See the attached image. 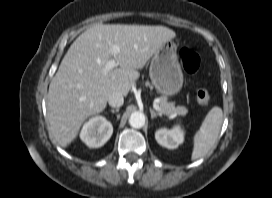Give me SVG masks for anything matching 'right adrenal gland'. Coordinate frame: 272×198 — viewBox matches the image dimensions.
Masks as SVG:
<instances>
[{
  "instance_id": "obj_1",
  "label": "right adrenal gland",
  "mask_w": 272,
  "mask_h": 198,
  "mask_svg": "<svg viewBox=\"0 0 272 198\" xmlns=\"http://www.w3.org/2000/svg\"><path fill=\"white\" fill-rule=\"evenodd\" d=\"M110 112H111V113H118V112H119V108L111 109Z\"/></svg>"
}]
</instances>
